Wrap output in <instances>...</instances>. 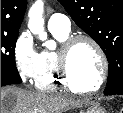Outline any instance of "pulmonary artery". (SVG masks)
Listing matches in <instances>:
<instances>
[{"mask_svg": "<svg viewBox=\"0 0 123 113\" xmlns=\"http://www.w3.org/2000/svg\"><path fill=\"white\" fill-rule=\"evenodd\" d=\"M50 31L69 32L71 28L70 19L63 14H53L48 20Z\"/></svg>", "mask_w": 123, "mask_h": 113, "instance_id": "obj_1", "label": "pulmonary artery"}]
</instances>
